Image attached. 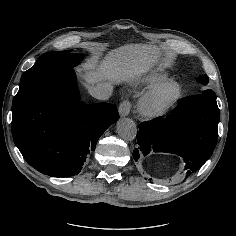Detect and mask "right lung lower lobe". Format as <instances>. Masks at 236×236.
<instances>
[{
    "label": "right lung lower lobe",
    "mask_w": 236,
    "mask_h": 236,
    "mask_svg": "<svg viewBox=\"0 0 236 236\" xmlns=\"http://www.w3.org/2000/svg\"><path fill=\"white\" fill-rule=\"evenodd\" d=\"M110 103L80 101L72 68L19 87L12 104V135L25 160L52 177L78 174L99 137L118 119Z\"/></svg>",
    "instance_id": "1"
}]
</instances>
